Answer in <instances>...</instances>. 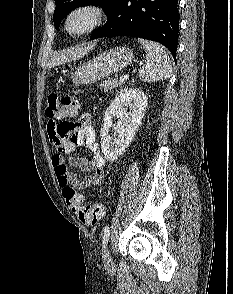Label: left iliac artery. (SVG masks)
<instances>
[{
  "instance_id": "obj_1",
  "label": "left iliac artery",
  "mask_w": 233,
  "mask_h": 294,
  "mask_svg": "<svg viewBox=\"0 0 233 294\" xmlns=\"http://www.w3.org/2000/svg\"><path fill=\"white\" fill-rule=\"evenodd\" d=\"M109 235H110V229H109V226H106L104 228V233H103V245L105 246L108 242V238H109Z\"/></svg>"
}]
</instances>
